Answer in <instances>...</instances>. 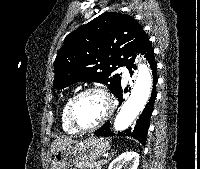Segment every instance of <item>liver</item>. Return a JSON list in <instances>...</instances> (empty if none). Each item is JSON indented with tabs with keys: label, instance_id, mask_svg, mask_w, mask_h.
I'll list each match as a JSON object with an SVG mask.
<instances>
[{
	"label": "liver",
	"instance_id": "liver-1",
	"mask_svg": "<svg viewBox=\"0 0 200 169\" xmlns=\"http://www.w3.org/2000/svg\"><path fill=\"white\" fill-rule=\"evenodd\" d=\"M76 142H77L76 140H72L69 138H57L51 144V153H53L56 149H58L62 146L71 145Z\"/></svg>",
	"mask_w": 200,
	"mask_h": 169
}]
</instances>
